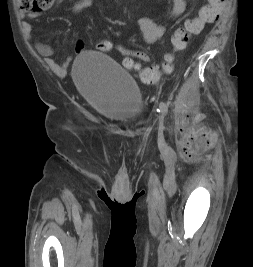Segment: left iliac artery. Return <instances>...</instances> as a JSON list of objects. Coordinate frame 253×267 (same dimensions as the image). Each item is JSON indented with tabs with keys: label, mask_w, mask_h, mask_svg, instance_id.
Returning a JSON list of instances; mask_svg holds the SVG:
<instances>
[{
	"label": "left iliac artery",
	"mask_w": 253,
	"mask_h": 267,
	"mask_svg": "<svg viewBox=\"0 0 253 267\" xmlns=\"http://www.w3.org/2000/svg\"><path fill=\"white\" fill-rule=\"evenodd\" d=\"M159 112L162 113L163 115H166L168 113V106L166 103L164 102L160 103Z\"/></svg>",
	"instance_id": "1"
}]
</instances>
